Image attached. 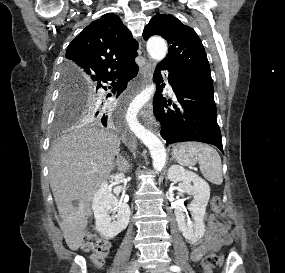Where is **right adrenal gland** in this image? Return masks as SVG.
I'll use <instances>...</instances> for the list:
<instances>
[{
    "label": "right adrenal gland",
    "instance_id": "2a0ac1e0",
    "mask_svg": "<svg viewBox=\"0 0 285 273\" xmlns=\"http://www.w3.org/2000/svg\"><path fill=\"white\" fill-rule=\"evenodd\" d=\"M114 167H117V169L122 173L128 172V170L130 168L128 161L125 159V157H123L120 154V149H118V151H117V158H116L115 162L113 163V168Z\"/></svg>",
    "mask_w": 285,
    "mask_h": 273
}]
</instances>
